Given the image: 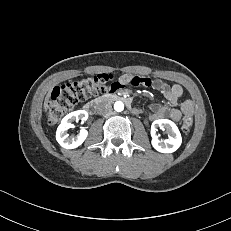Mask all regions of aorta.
I'll return each mask as SVG.
<instances>
[{
    "instance_id": "aorta-1",
    "label": "aorta",
    "mask_w": 231,
    "mask_h": 231,
    "mask_svg": "<svg viewBox=\"0 0 231 231\" xmlns=\"http://www.w3.org/2000/svg\"><path fill=\"white\" fill-rule=\"evenodd\" d=\"M114 109H115V111H117V112L123 111V110H124V103L121 102V101L115 102V103H114Z\"/></svg>"
}]
</instances>
